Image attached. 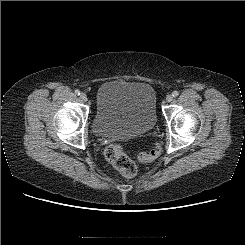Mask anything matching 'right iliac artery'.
Returning <instances> with one entry per match:
<instances>
[{"mask_svg":"<svg viewBox=\"0 0 245 245\" xmlns=\"http://www.w3.org/2000/svg\"><path fill=\"white\" fill-rule=\"evenodd\" d=\"M75 94L76 95H80V91L77 89V90H75Z\"/></svg>","mask_w":245,"mask_h":245,"instance_id":"right-iliac-artery-1","label":"right iliac artery"}]
</instances>
